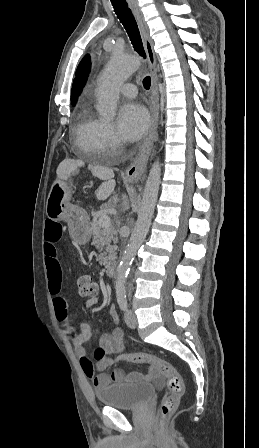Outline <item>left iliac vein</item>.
Wrapping results in <instances>:
<instances>
[{"label": "left iliac vein", "instance_id": "1", "mask_svg": "<svg viewBox=\"0 0 259 448\" xmlns=\"http://www.w3.org/2000/svg\"><path fill=\"white\" fill-rule=\"evenodd\" d=\"M125 323L126 325L131 328L135 329L137 326V317L135 313L131 309H127L124 315Z\"/></svg>", "mask_w": 259, "mask_h": 448}]
</instances>
